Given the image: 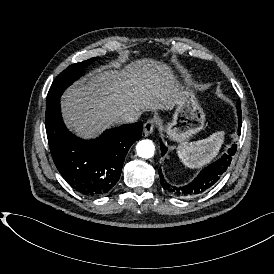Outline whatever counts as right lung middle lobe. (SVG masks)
<instances>
[{
    "instance_id": "1",
    "label": "right lung middle lobe",
    "mask_w": 274,
    "mask_h": 274,
    "mask_svg": "<svg viewBox=\"0 0 274 274\" xmlns=\"http://www.w3.org/2000/svg\"><path fill=\"white\" fill-rule=\"evenodd\" d=\"M97 59L98 57H94L80 63H75L61 72L50 87L47 95V102L60 97L67 87H69L75 80L82 76L85 68Z\"/></svg>"
}]
</instances>
